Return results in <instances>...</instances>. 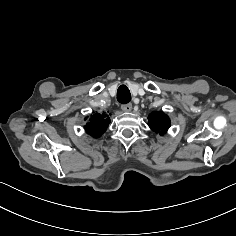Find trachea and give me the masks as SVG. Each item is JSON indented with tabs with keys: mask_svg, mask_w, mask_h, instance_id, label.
<instances>
[{
	"mask_svg": "<svg viewBox=\"0 0 236 236\" xmlns=\"http://www.w3.org/2000/svg\"><path fill=\"white\" fill-rule=\"evenodd\" d=\"M117 100L122 104H127L131 100V94L127 86L121 85L117 90Z\"/></svg>",
	"mask_w": 236,
	"mask_h": 236,
	"instance_id": "obj_1",
	"label": "trachea"
}]
</instances>
